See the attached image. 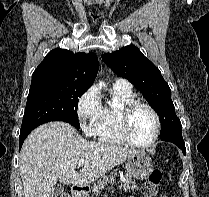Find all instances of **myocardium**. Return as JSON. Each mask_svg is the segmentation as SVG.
Returning a JSON list of instances; mask_svg holds the SVG:
<instances>
[{
  "label": "myocardium",
  "instance_id": "1",
  "mask_svg": "<svg viewBox=\"0 0 209 197\" xmlns=\"http://www.w3.org/2000/svg\"><path fill=\"white\" fill-rule=\"evenodd\" d=\"M143 106L147 108L153 115L155 120V130L154 134L151 138V140L147 143H140L134 140L132 133H131V116L133 111L139 107ZM119 118H120V129L123 137L125 138L126 142L129 143L132 146L138 147V148H149L152 147L158 140L160 135V129H161V121L160 116L156 109L149 104L148 102L139 99L134 98L127 102L126 104L122 105L119 111Z\"/></svg>",
  "mask_w": 209,
  "mask_h": 197
}]
</instances>
